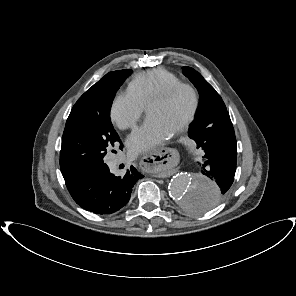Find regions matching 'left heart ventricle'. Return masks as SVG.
I'll return each mask as SVG.
<instances>
[{
    "mask_svg": "<svg viewBox=\"0 0 296 296\" xmlns=\"http://www.w3.org/2000/svg\"><path fill=\"white\" fill-rule=\"evenodd\" d=\"M191 105L190 94L182 90L169 101L151 106L147 114L174 131L188 116Z\"/></svg>",
    "mask_w": 296,
    "mask_h": 296,
    "instance_id": "left-heart-ventricle-1",
    "label": "left heart ventricle"
}]
</instances>
